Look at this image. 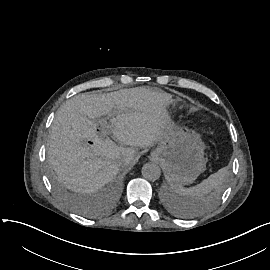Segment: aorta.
Wrapping results in <instances>:
<instances>
[{
    "label": "aorta",
    "instance_id": "762f6f07",
    "mask_svg": "<svg viewBox=\"0 0 270 270\" xmlns=\"http://www.w3.org/2000/svg\"><path fill=\"white\" fill-rule=\"evenodd\" d=\"M142 175L147 180H157L161 175L160 167L155 163H146L142 167Z\"/></svg>",
    "mask_w": 270,
    "mask_h": 270
}]
</instances>
